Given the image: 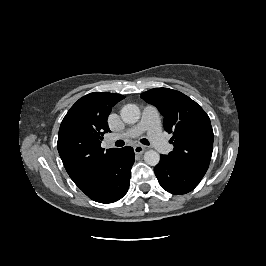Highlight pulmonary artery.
Here are the masks:
<instances>
[{
    "instance_id": "e3ab8cb5",
    "label": "pulmonary artery",
    "mask_w": 266,
    "mask_h": 266,
    "mask_svg": "<svg viewBox=\"0 0 266 266\" xmlns=\"http://www.w3.org/2000/svg\"><path fill=\"white\" fill-rule=\"evenodd\" d=\"M145 131L156 150L160 152L169 150L170 145L162 133L159 112L155 107L149 105L144 108L142 118L137 125L120 134L112 135L111 139L137 137Z\"/></svg>"
}]
</instances>
